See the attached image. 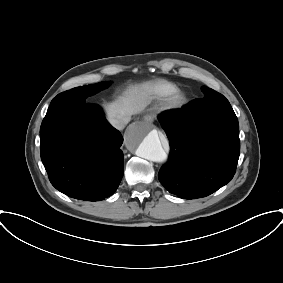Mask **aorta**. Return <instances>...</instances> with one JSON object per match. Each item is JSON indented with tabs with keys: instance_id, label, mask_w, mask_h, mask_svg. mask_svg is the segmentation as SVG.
Here are the masks:
<instances>
[{
	"instance_id": "obj_1",
	"label": "aorta",
	"mask_w": 283,
	"mask_h": 283,
	"mask_svg": "<svg viewBox=\"0 0 283 283\" xmlns=\"http://www.w3.org/2000/svg\"><path fill=\"white\" fill-rule=\"evenodd\" d=\"M125 144L137 156L149 161L162 163L167 160L160 135L151 124L139 122L132 125L126 133Z\"/></svg>"
}]
</instances>
